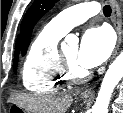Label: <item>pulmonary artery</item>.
Returning <instances> with one entry per match:
<instances>
[{
    "instance_id": "1",
    "label": "pulmonary artery",
    "mask_w": 123,
    "mask_h": 113,
    "mask_svg": "<svg viewBox=\"0 0 123 113\" xmlns=\"http://www.w3.org/2000/svg\"><path fill=\"white\" fill-rule=\"evenodd\" d=\"M99 10L100 6L97 2L77 4L52 18L48 25L62 33H66L74 26L94 16Z\"/></svg>"
}]
</instances>
